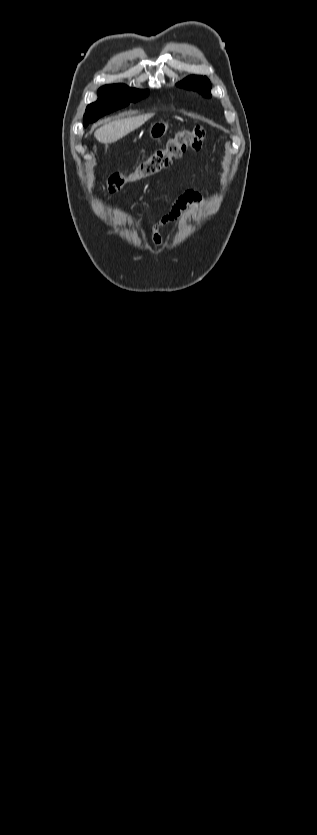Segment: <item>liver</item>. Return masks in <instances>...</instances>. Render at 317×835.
Here are the masks:
<instances>
[{"label": "liver", "instance_id": "obj_1", "mask_svg": "<svg viewBox=\"0 0 317 835\" xmlns=\"http://www.w3.org/2000/svg\"><path fill=\"white\" fill-rule=\"evenodd\" d=\"M151 117L152 114H143L133 117L120 118L104 124L96 130L94 135L102 144L114 143L138 129Z\"/></svg>", "mask_w": 317, "mask_h": 835}]
</instances>
